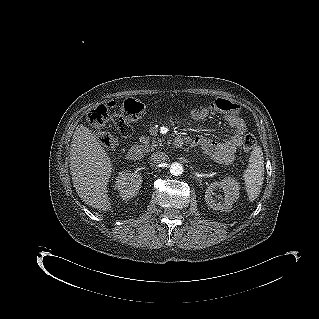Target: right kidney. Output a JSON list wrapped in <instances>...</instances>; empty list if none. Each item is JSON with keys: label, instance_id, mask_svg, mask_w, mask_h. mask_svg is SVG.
Returning <instances> with one entry per match:
<instances>
[{"label": "right kidney", "instance_id": "1", "mask_svg": "<svg viewBox=\"0 0 319 319\" xmlns=\"http://www.w3.org/2000/svg\"><path fill=\"white\" fill-rule=\"evenodd\" d=\"M125 180L120 178L116 181V188H118L120 191H123L124 187H125ZM138 190V188H135L132 193H130L131 196L135 195L136 191ZM121 196L123 197L124 200L128 199L129 196H125L121 193Z\"/></svg>", "mask_w": 319, "mask_h": 319}]
</instances>
